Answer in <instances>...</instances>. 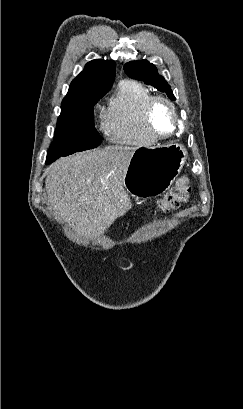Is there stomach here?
Wrapping results in <instances>:
<instances>
[{
  "instance_id": "obj_1",
  "label": "stomach",
  "mask_w": 243,
  "mask_h": 409,
  "mask_svg": "<svg viewBox=\"0 0 243 409\" xmlns=\"http://www.w3.org/2000/svg\"><path fill=\"white\" fill-rule=\"evenodd\" d=\"M186 154L179 143L136 149L126 172L125 189L136 197L168 190L184 166Z\"/></svg>"
}]
</instances>
